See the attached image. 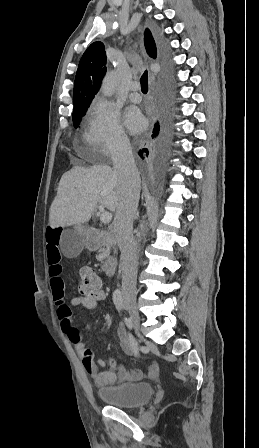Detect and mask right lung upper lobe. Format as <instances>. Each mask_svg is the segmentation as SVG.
Returning a JSON list of instances; mask_svg holds the SVG:
<instances>
[{"label": "right lung upper lobe", "mask_w": 259, "mask_h": 448, "mask_svg": "<svg viewBox=\"0 0 259 448\" xmlns=\"http://www.w3.org/2000/svg\"><path fill=\"white\" fill-rule=\"evenodd\" d=\"M144 44L150 57L156 59L157 47L152 33L146 29ZM102 42L92 43L80 59L74 81V110L88 108L106 73V53Z\"/></svg>", "instance_id": "cb5924a9"}]
</instances>
